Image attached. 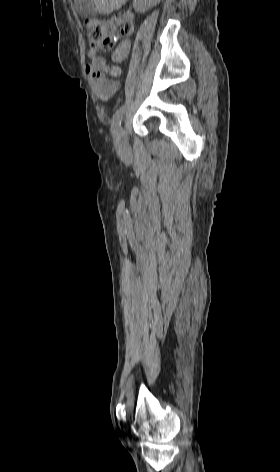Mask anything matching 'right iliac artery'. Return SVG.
<instances>
[{
  "label": "right iliac artery",
  "instance_id": "1",
  "mask_svg": "<svg viewBox=\"0 0 280 472\" xmlns=\"http://www.w3.org/2000/svg\"><path fill=\"white\" fill-rule=\"evenodd\" d=\"M124 114V106H121L113 115L112 118V125H111V131L113 138L118 141L119 138V130H120V125L122 121V117Z\"/></svg>",
  "mask_w": 280,
  "mask_h": 472
}]
</instances>
